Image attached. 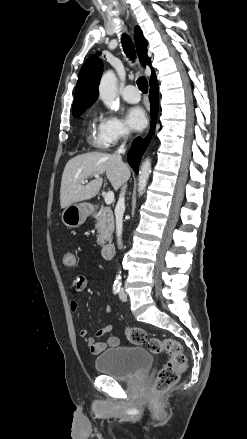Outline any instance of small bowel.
Here are the masks:
<instances>
[{
    "label": "small bowel",
    "mask_w": 247,
    "mask_h": 439,
    "mask_svg": "<svg viewBox=\"0 0 247 439\" xmlns=\"http://www.w3.org/2000/svg\"><path fill=\"white\" fill-rule=\"evenodd\" d=\"M88 281L85 276L78 275L76 276L71 284V289L75 293L82 292L87 287ZM70 309L73 312H77L79 309V304L76 300L72 299L70 301ZM105 312L110 313L111 307L106 306ZM113 326L112 324H107L103 328L99 329L96 332L97 337H102L108 333L111 332ZM79 336L82 339H85L86 346L90 350V352L94 355L100 354L102 351H104L107 347H115L119 344V338L116 336H108L104 341H96L94 338H87V330L82 329L79 332Z\"/></svg>",
    "instance_id": "small-bowel-1"
}]
</instances>
